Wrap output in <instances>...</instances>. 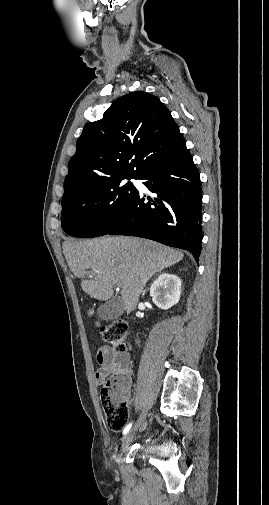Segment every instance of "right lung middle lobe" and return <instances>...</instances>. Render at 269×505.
Listing matches in <instances>:
<instances>
[{
	"instance_id": "1",
	"label": "right lung middle lobe",
	"mask_w": 269,
	"mask_h": 505,
	"mask_svg": "<svg viewBox=\"0 0 269 505\" xmlns=\"http://www.w3.org/2000/svg\"><path fill=\"white\" fill-rule=\"evenodd\" d=\"M137 194L125 179L85 189L62 201L61 227L74 237L105 235L122 219Z\"/></svg>"
}]
</instances>
